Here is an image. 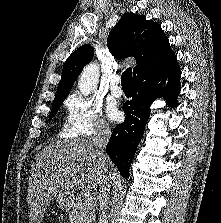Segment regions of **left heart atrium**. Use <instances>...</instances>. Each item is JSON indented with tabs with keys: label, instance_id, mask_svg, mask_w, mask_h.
Masks as SVG:
<instances>
[{
	"label": "left heart atrium",
	"instance_id": "left-heart-atrium-1",
	"mask_svg": "<svg viewBox=\"0 0 221 223\" xmlns=\"http://www.w3.org/2000/svg\"><path fill=\"white\" fill-rule=\"evenodd\" d=\"M107 114L110 120L116 121L120 118V112L116 106L110 104L107 107Z\"/></svg>",
	"mask_w": 221,
	"mask_h": 223
}]
</instances>
